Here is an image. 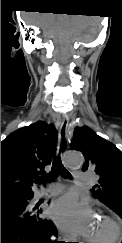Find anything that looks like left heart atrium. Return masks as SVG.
I'll use <instances>...</instances> for the list:
<instances>
[{
	"label": "left heart atrium",
	"mask_w": 122,
	"mask_h": 243,
	"mask_svg": "<svg viewBox=\"0 0 122 243\" xmlns=\"http://www.w3.org/2000/svg\"><path fill=\"white\" fill-rule=\"evenodd\" d=\"M49 213L63 230L71 234L88 235L94 221L91 207L72 194L56 200Z\"/></svg>",
	"instance_id": "left-heart-atrium-1"
}]
</instances>
